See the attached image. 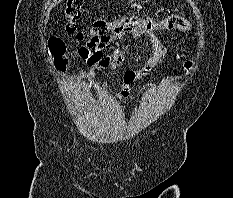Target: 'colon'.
<instances>
[{
  "instance_id": "colon-1",
  "label": "colon",
  "mask_w": 233,
  "mask_h": 198,
  "mask_svg": "<svg viewBox=\"0 0 233 198\" xmlns=\"http://www.w3.org/2000/svg\"><path fill=\"white\" fill-rule=\"evenodd\" d=\"M84 0H67L65 8V22L63 28L66 33L75 35L79 41L85 40L86 46L93 47L99 40L109 36L112 31V22L104 19H97L87 32L78 30V21L82 16ZM119 25L127 28L139 26L145 33H152L156 30L178 29L188 31L191 27L190 22L179 15H170L162 20H155L151 17L139 18L137 16H129L123 19L115 20ZM49 49L54 56V62L60 70H64L67 66V60L64 57L66 46L59 38H51L48 42ZM191 63L187 62L186 67H190Z\"/></svg>"
}]
</instances>
